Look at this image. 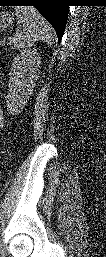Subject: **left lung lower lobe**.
Masks as SVG:
<instances>
[{
    "mask_svg": "<svg viewBox=\"0 0 106 257\" xmlns=\"http://www.w3.org/2000/svg\"><path fill=\"white\" fill-rule=\"evenodd\" d=\"M0 6H34L55 29L60 43L67 22L70 0H0Z\"/></svg>",
    "mask_w": 106,
    "mask_h": 257,
    "instance_id": "left-lung-lower-lobe-1",
    "label": "left lung lower lobe"
}]
</instances>
